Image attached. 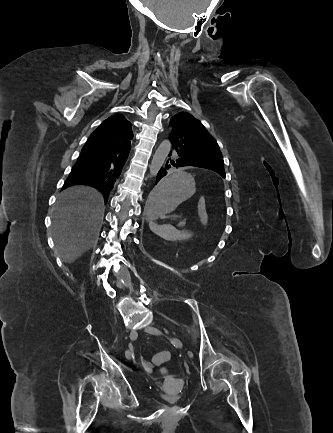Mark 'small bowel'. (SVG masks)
I'll use <instances>...</instances> for the list:
<instances>
[{
	"mask_svg": "<svg viewBox=\"0 0 333 433\" xmlns=\"http://www.w3.org/2000/svg\"><path fill=\"white\" fill-rule=\"evenodd\" d=\"M145 366L148 370H151V367L148 364H145Z\"/></svg>",
	"mask_w": 333,
	"mask_h": 433,
	"instance_id": "obj_1",
	"label": "small bowel"
}]
</instances>
